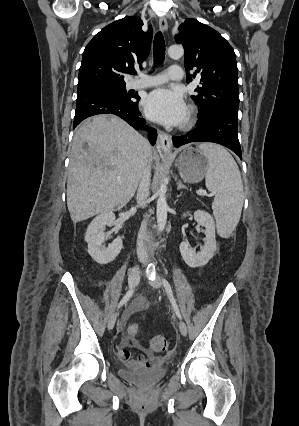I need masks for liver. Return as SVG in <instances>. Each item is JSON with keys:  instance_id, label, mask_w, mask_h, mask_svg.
<instances>
[{"instance_id": "1", "label": "liver", "mask_w": 299, "mask_h": 426, "mask_svg": "<svg viewBox=\"0 0 299 426\" xmlns=\"http://www.w3.org/2000/svg\"><path fill=\"white\" fill-rule=\"evenodd\" d=\"M151 157L146 139L119 117L85 120L75 132L69 156L67 207L72 221L125 206Z\"/></svg>"}]
</instances>
